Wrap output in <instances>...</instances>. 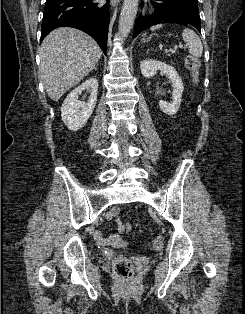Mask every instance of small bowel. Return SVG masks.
Returning a JSON list of instances; mask_svg holds the SVG:
<instances>
[{
	"mask_svg": "<svg viewBox=\"0 0 245 314\" xmlns=\"http://www.w3.org/2000/svg\"><path fill=\"white\" fill-rule=\"evenodd\" d=\"M119 213V209L117 207H113L107 214L106 219L108 221L114 220ZM118 231L121 233L123 230L121 229V225L118 226ZM94 238L100 246H115V247H122L125 244L123 238H121L118 234H113L111 236L105 237L102 232L95 231Z\"/></svg>",
	"mask_w": 245,
	"mask_h": 314,
	"instance_id": "small-bowel-1",
	"label": "small bowel"
}]
</instances>
